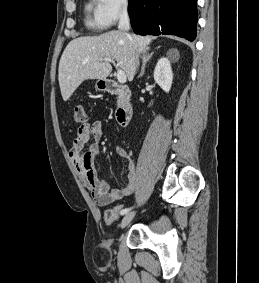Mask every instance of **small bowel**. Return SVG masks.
Returning a JSON list of instances; mask_svg holds the SVG:
<instances>
[{"mask_svg": "<svg viewBox=\"0 0 259 283\" xmlns=\"http://www.w3.org/2000/svg\"><path fill=\"white\" fill-rule=\"evenodd\" d=\"M102 135L100 121L82 124L76 132L68 155L76 171L87 184L93 200L98 205L105 206L133 194L137 184V172L135 163L127 151L121 146L117 147V156L128 160L127 183L123 188L109 191V181L99 180L94 168V159L100 153L99 141Z\"/></svg>", "mask_w": 259, "mask_h": 283, "instance_id": "1", "label": "small bowel"}]
</instances>
